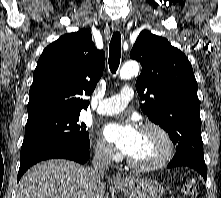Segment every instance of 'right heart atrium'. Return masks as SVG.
<instances>
[{
  "label": "right heart atrium",
  "instance_id": "d8ad5b80",
  "mask_svg": "<svg viewBox=\"0 0 221 198\" xmlns=\"http://www.w3.org/2000/svg\"><path fill=\"white\" fill-rule=\"evenodd\" d=\"M94 152L96 157L103 161H112L117 157L112 148L102 139L96 141Z\"/></svg>",
  "mask_w": 221,
  "mask_h": 198
}]
</instances>
